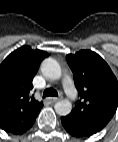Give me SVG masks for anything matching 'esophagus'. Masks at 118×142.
Segmentation results:
<instances>
[{
	"label": "esophagus",
	"instance_id": "34e87169",
	"mask_svg": "<svg viewBox=\"0 0 118 142\" xmlns=\"http://www.w3.org/2000/svg\"><path fill=\"white\" fill-rule=\"evenodd\" d=\"M50 102H57L58 100H60V97H51L49 98Z\"/></svg>",
	"mask_w": 118,
	"mask_h": 142
}]
</instances>
